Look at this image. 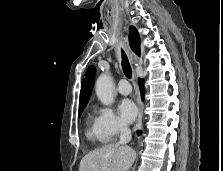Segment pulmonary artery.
Masks as SVG:
<instances>
[{"mask_svg":"<svg viewBox=\"0 0 223 171\" xmlns=\"http://www.w3.org/2000/svg\"><path fill=\"white\" fill-rule=\"evenodd\" d=\"M132 91V88L127 80L121 79L118 84V92L121 95H129Z\"/></svg>","mask_w":223,"mask_h":171,"instance_id":"pulmonary-artery-1","label":"pulmonary artery"}]
</instances>
